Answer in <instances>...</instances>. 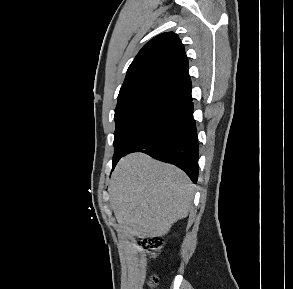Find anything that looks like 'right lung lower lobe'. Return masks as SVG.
<instances>
[{
  "mask_svg": "<svg viewBox=\"0 0 293 289\" xmlns=\"http://www.w3.org/2000/svg\"><path fill=\"white\" fill-rule=\"evenodd\" d=\"M131 152H143L182 169L196 183L198 179V138L192 100L166 114L114 154L113 168Z\"/></svg>",
  "mask_w": 293,
  "mask_h": 289,
  "instance_id": "right-lung-lower-lobe-1",
  "label": "right lung lower lobe"
}]
</instances>
